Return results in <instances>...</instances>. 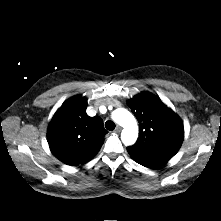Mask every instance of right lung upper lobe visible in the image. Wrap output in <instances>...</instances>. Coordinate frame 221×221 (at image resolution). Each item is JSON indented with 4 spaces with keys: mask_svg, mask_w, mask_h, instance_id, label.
<instances>
[{
    "mask_svg": "<svg viewBox=\"0 0 221 221\" xmlns=\"http://www.w3.org/2000/svg\"><path fill=\"white\" fill-rule=\"evenodd\" d=\"M87 99L74 96L54 114L47 131L52 154L67 165L90 161L100 150L107 131L103 120L86 114Z\"/></svg>",
    "mask_w": 221,
    "mask_h": 221,
    "instance_id": "1",
    "label": "right lung upper lobe"
}]
</instances>
